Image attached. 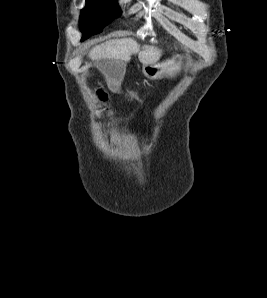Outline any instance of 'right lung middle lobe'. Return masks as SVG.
Instances as JSON below:
<instances>
[{
	"mask_svg": "<svg viewBox=\"0 0 267 298\" xmlns=\"http://www.w3.org/2000/svg\"><path fill=\"white\" fill-rule=\"evenodd\" d=\"M120 14L117 0H86V6L80 13L82 41L91 34L100 33L109 22Z\"/></svg>",
	"mask_w": 267,
	"mask_h": 298,
	"instance_id": "obj_1",
	"label": "right lung middle lobe"
}]
</instances>
